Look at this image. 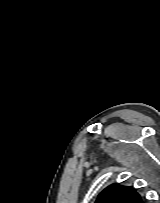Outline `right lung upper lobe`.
Segmentation results:
<instances>
[{"instance_id":"1","label":"right lung upper lobe","mask_w":160,"mask_h":203,"mask_svg":"<svg viewBox=\"0 0 160 203\" xmlns=\"http://www.w3.org/2000/svg\"><path fill=\"white\" fill-rule=\"evenodd\" d=\"M95 203H143L139 194L132 187L108 186L98 196Z\"/></svg>"}]
</instances>
